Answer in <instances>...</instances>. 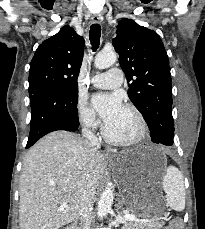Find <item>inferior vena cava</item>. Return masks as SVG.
<instances>
[{
  "instance_id": "obj_1",
  "label": "inferior vena cava",
  "mask_w": 205,
  "mask_h": 229,
  "mask_svg": "<svg viewBox=\"0 0 205 229\" xmlns=\"http://www.w3.org/2000/svg\"><path fill=\"white\" fill-rule=\"evenodd\" d=\"M91 122L92 120L89 121V123ZM89 127L90 124L84 126V128L82 129V134L86 139L90 141L92 147L98 149L99 148L98 138L95 136L92 130H90ZM94 196H95L94 182L92 179L89 178L82 194L80 209H79V213L81 215V221H82V229H91V223L93 220L92 205L94 202Z\"/></svg>"
}]
</instances>
